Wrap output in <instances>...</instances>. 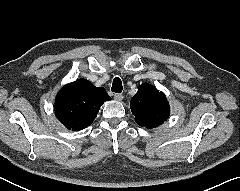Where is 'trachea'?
I'll use <instances>...</instances> for the list:
<instances>
[{
  "label": "trachea",
  "mask_w": 240,
  "mask_h": 191,
  "mask_svg": "<svg viewBox=\"0 0 240 191\" xmlns=\"http://www.w3.org/2000/svg\"><path fill=\"white\" fill-rule=\"evenodd\" d=\"M122 81L119 77H115L112 83L111 90L115 93H121L122 92Z\"/></svg>",
  "instance_id": "trachea-1"
}]
</instances>
